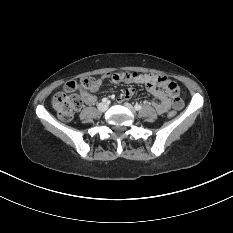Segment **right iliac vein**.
Wrapping results in <instances>:
<instances>
[{
	"mask_svg": "<svg viewBox=\"0 0 233 233\" xmlns=\"http://www.w3.org/2000/svg\"><path fill=\"white\" fill-rule=\"evenodd\" d=\"M98 109H99V111H101V112H105V111L108 109V104H107V103H100V104L98 105Z\"/></svg>",
	"mask_w": 233,
	"mask_h": 233,
	"instance_id": "obj_1",
	"label": "right iliac vein"
}]
</instances>
